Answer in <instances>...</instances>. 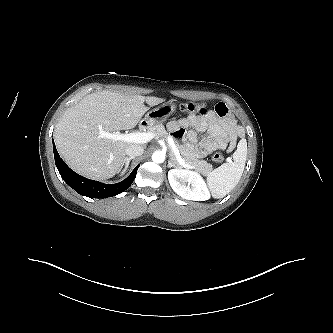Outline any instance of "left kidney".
Listing matches in <instances>:
<instances>
[{
    "instance_id": "5707ae66",
    "label": "left kidney",
    "mask_w": 333,
    "mask_h": 333,
    "mask_svg": "<svg viewBox=\"0 0 333 333\" xmlns=\"http://www.w3.org/2000/svg\"><path fill=\"white\" fill-rule=\"evenodd\" d=\"M170 186L184 199L205 201L210 199V192L202 176L195 171L172 169L168 172Z\"/></svg>"
}]
</instances>
